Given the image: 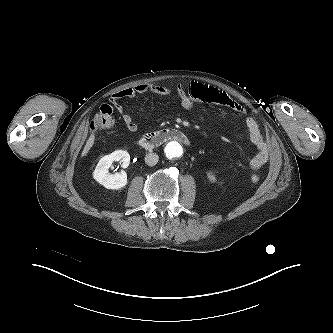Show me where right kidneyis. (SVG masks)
Here are the masks:
<instances>
[{
  "label": "right kidney",
  "instance_id": "obj_1",
  "mask_svg": "<svg viewBox=\"0 0 333 333\" xmlns=\"http://www.w3.org/2000/svg\"><path fill=\"white\" fill-rule=\"evenodd\" d=\"M120 161L123 168H127L130 163V155L127 151L117 150L102 157L94 172L93 178L107 189H121L127 185V174L122 171L119 173H109L111 164Z\"/></svg>",
  "mask_w": 333,
  "mask_h": 333
}]
</instances>
